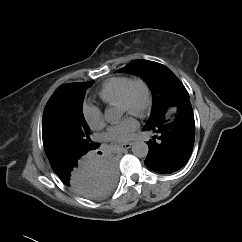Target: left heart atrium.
Listing matches in <instances>:
<instances>
[{
  "mask_svg": "<svg viewBox=\"0 0 242 242\" xmlns=\"http://www.w3.org/2000/svg\"><path fill=\"white\" fill-rule=\"evenodd\" d=\"M137 127V120L133 116L128 115L109 127L106 137L112 142L125 143L131 140L133 132Z\"/></svg>",
  "mask_w": 242,
  "mask_h": 242,
  "instance_id": "39dd6f15",
  "label": "left heart atrium"
}]
</instances>
